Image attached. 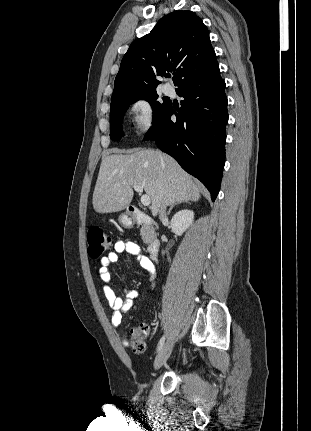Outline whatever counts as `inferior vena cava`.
Returning a JSON list of instances; mask_svg holds the SVG:
<instances>
[{"label": "inferior vena cava", "mask_w": 311, "mask_h": 431, "mask_svg": "<svg viewBox=\"0 0 311 431\" xmlns=\"http://www.w3.org/2000/svg\"><path fill=\"white\" fill-rule=\"evenodd\" d=\"M159 217L160 219H165L166 216V204H162L160 210H159Z\"/></svg>", "instance_id": "602c4592"}]
</instances>
